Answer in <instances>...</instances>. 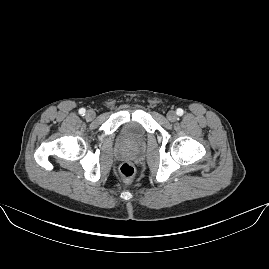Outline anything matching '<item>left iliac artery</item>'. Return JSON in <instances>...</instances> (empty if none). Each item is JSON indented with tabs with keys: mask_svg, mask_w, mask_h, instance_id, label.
I'll return each mask as SVG.
<instances>
[{
	"mask_svg": "<svg viewBox=\"0 0 269 269\" xmlns=\"http://www.w3.org/2000/svg\"><path fill=\"white\" fill-rule=\"evenodd\" d=\"M176 113H177L178 116H182L184 111L181 108H178Z\"/></svg>",
	"mask_w": 269,
	"mask_h": 269,
	"instance_id": "obj_1",
	"label": "left iliac artery"
}]
</instances>
